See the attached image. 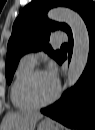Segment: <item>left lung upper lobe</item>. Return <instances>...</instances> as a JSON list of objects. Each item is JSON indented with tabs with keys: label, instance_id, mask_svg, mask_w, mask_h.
<instances>
[{
	"label": "left lung upper lobe",
	"instance_id": "5c2ea615",
	"mask_svg": "<svg viewBox=\"0 0 95 130\" xmlns=\"http://www.w3.org/2000/svg\"><path fill=\"white\" fill-rule=\"evenodd\" d=\"M66 6L77 11L83 19L95 11L92 0H36L28 4L15 20L7 46L6 80L10 83L20 58L28 52L44 50L55 60L61 52L54 51L48 45L51 31L61 29L68 36L71 29L64 23H57L47 18L50 8Z\"/></svg>",
	"mask_w": 95,
	"mask_h": 130
}]
</instances>
